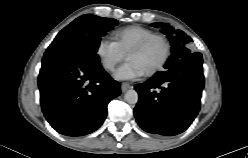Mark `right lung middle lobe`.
Listing matches in <instances>:
<instances>
[{
	"label": "right lung middle lobe",
	"instance_id": "1",
	"mask_svg": "<svg viewBox=\"0 0 248 158\" xmlns=\"http://www.w3.org/2000/svg\"><path fill=\"white\" fill-rule=\"evenodd\" d=\"M117 24L112 18L82 15L62 29L48 49L64 48L96 54L101 37Z\"/></svg>",
	"mask_w": 248,
	"mask_h": 158
}]
</instances>
